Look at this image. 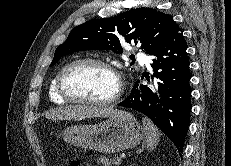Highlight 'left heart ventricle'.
Wrapping results in <instances>:
<instances>
[{
  "label": "left heart ventricle",
  "mask_w": 231,
  "mask_h": 166,
  "mask_svg": "<svg viewBox=\"0 0 231 166\" xmlns=\"http://www.w3.org/2000/svg\"><path fill=\"white\" fill-rule=\"evenodd\" d=\"M64 86L75 97L103 100L114 95L117 82L106 68L86 64L70 69L65 75Z\"/></svg>",
  "instance_id": "b2bd125f"
}]
</instances>
